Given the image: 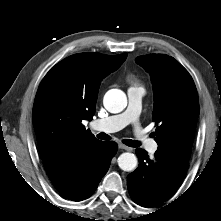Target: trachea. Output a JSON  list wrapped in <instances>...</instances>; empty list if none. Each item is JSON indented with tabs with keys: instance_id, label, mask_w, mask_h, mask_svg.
<instances>
[{
	"instance_id": "trachea-1",
	"label": "trachea",
	"mask_w": 221,
	"mask_h": 221,
	"mask_svg": "<svg viewBox=\"0 0 221 221\" xmlns=\"http://www.w3.org/2000/svg\"><path fill=\"white\" fill-rule=\"evenodd\" d=\"M97 137L99 139H102V140H110V136L105 134V133H99L97 135ZM125 145L129 146V147H138L140 146L139 142L138 141H135V140H130V139H124L122 141Z\"/></svg>"
}]
</instances>
